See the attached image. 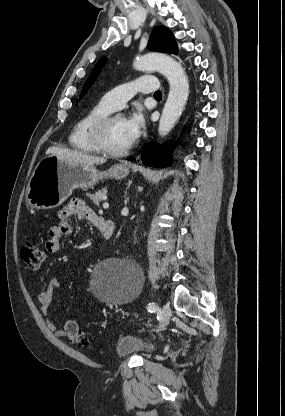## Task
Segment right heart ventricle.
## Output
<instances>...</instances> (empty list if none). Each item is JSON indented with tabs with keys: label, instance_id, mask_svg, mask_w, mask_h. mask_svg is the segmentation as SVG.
Returning <instances> with one entry per match:
<instances>
[{
	"label": "right heart ventricle",
	"instance_id": "e07e8e85",
	"mask_svg": "<svg viewBox=\"0 0 285 416\" xmlns=\"http://www.w3.org/2000/svg\"><path fill=\"white\" fill-rule=\"evenodd\" d=\"M110 111L102 100L89 107L75 123L69 137L70 145L81 153H97L90 139V130L95 121Z\"/></svg>",
	"mask_w": 285,
	"mask_h": 416
}]
</instances>
